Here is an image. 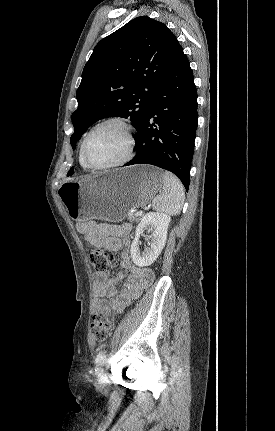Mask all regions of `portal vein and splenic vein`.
Returning <instances> with one entry per match:
<instances>
[{
	"mask_svg": "<svg viewBox=\"0 0 275 431\" xmlns=\"http://www.w3.org/2000/svg\"><path fill=\"white\" fill-rule=\"evenodd\" d=\"M143 209H146V207L145 208H143ZM143 214V210H140V211H138L137 213H136V215H138V216H141Z\"/></svg>",
	"mask_w": 275,
	"mask_h": 431,
	"instance_id": "obj_1",
	"label": "portal vein and splenic vein"
}]
</instances>
